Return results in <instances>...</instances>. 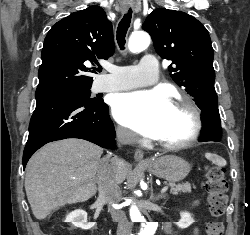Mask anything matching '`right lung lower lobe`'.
Returning <instances> with one entry per match:
<instances>
[{
  "label": "right lung lower lobe",
  "instance_id": "98d812e1",
  "mask_svg": "<svg viewBox=\"0 0 250 235\" xmlns=\"http://www.w3.org/2000/svg\"><path fill=\"white\" fill-rule=\"evenodd\" d=\"M80 138L103 148L114 146L115 130L102 99L91 101L76 94L46 95L36 98L23 154V167L46 143Z\"/></svg>",
  "mask_w": 250,
  "mask_h": 235
}]
</instances>
